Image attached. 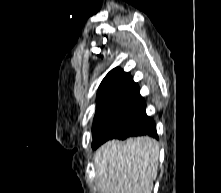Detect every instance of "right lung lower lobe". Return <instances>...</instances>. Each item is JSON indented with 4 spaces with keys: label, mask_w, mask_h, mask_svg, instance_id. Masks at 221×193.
<instances>
[{
    "label": "right lung lower lobe",
    "mask_w": 221,
    "mask_h": 193,
    "mask_svg": "<svg viewBox=\"0 0 221 193\" xmlns=\"http://www.w3.org/2000/svg\"><path fill=\"white\" fill-rule=\"evenodd\" d=\"M141 135H148L158 139L155 122L152 120V118L148 117L141 125L135 127L134 129L117 138L124 140L127 137Z\"/></svg>",
    "instance_id": "right-lung-lower-lobe-1"
}]
</instances>
